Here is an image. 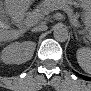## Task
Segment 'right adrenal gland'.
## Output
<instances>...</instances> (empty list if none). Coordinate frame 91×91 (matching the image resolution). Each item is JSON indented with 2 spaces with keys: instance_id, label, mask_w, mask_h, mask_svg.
I'll use <instances>...</instances> for the list:
<instances>
[{
  "instance_id": "obj_1",
  "label": "right adrenal gland",
  "mask_w": 91,
  "mask_h": 91,
  "mask_svg": "<svg viewBox=\"0 0 91 91\" xmlns=\"http://www.w3.org/2000/svg\"><path fill=\"white\" fill-rule=\"evenodd\" d=\"M32 33H34L35 31L34 30H31Z\"/></svg>"
}]
</instances>
